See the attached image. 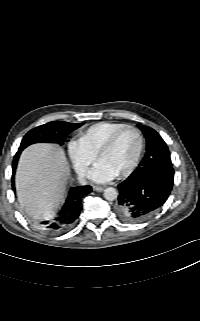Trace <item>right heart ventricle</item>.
Masks as SVG:
<instances>
[{
  "instance_id": "1",
  "label": "right heart ventricle",
  "mask_w": 200,
  "mask_h": 321,
  "mask_svg": "<svg viewBox=\"0 0 200 321\" xmlns=\"http://www.w3.org/2000/svg\"><path fill=\"white\" fill-rule=\"evenodd\" d=\"M127 126L125 123L102 121L90 125L80 133V140L95 154L101 146L118 130Z\"/></svg>"
}]
</instances>
